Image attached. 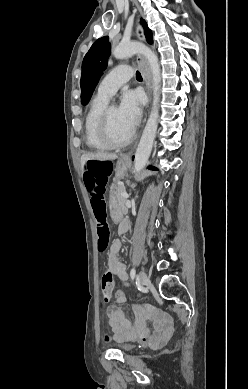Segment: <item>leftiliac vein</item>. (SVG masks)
<instances>
[{"label": "left iliac vein", "instance_id": "1", "mask_svg": "<svg viewBox=\"0 0 248 389\" xmlns=\"http://www.w3.org/2000/svg\"><path fill=\"white\" fill-rule=\"evenodd\" d=\"M139 283L141 285H146L148 282L147 274L144 271H141L138 276Z\"/></svg>", "mask_w": 248, "mask_h": 389}]
</instances>
